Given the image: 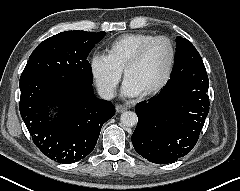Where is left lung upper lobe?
<instances>
[{
	"label": "left lung upper lobe",
	"instance_id": "1",
	"mask_svg": "<svg viewBox=\"0 0 240 191\" xmlns=\"http://www.w3.org/2000/svg\"><path fill=\"white\" fill-rule=\"evenodd\" d=\"M177 65L205 68L196 48L189 40L180 36L176 38L175 66Z\"/></svg>",
	"mask_w": 240,
	"mask_h": 191
}]
</instances>
